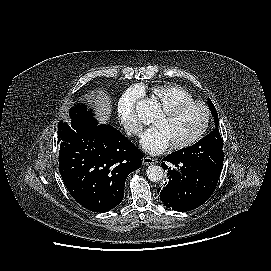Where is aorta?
Segmentation results:
<instances>
[{
    "label": "aorta",
    "mask_w": 271,
    "mask_h": 271,
    "mask_svg": "<svg viewBox=\"0 0 271 271\" xmlns=\"http://www.w3.org/2000/svg\"><path fill=\"white\" fill-rule=\"evenodd\" d=\"M147 177L152 182H158L163 178V168L157 165L149 166L147 171Z\"/></svg>",
    "instance_id": "1"
}]
</instances>
